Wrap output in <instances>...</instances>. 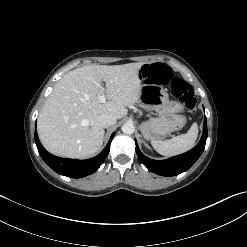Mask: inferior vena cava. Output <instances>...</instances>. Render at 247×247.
<instances>
[{"label": "inferior vena cava", "mask_w": 247, "mask_h": 247, "mask_svg": "<svg viewBox=\"0 0 247 247\" xmlns=\"http://www.w3.org/2000/svg\"><path fill=\"white\" fill-rule=\"evenodd\" d=\"M117 119L115 116L107 113H103L98 117V122L103 128H107L116 123Z\"/></svg>", "instance_id": "602c4592"}]
</instances>
